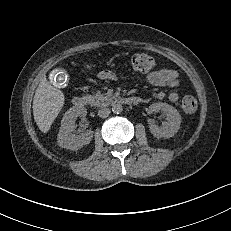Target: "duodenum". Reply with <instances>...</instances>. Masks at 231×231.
<instances>
[{
  "label": "duodenum",
  "mask_w": 231,
  "mask_h": 231,
  "mask_svg": "<svg viewBox=\"0 0 231 231\" xmlns=\"http://www.w3.org/2000/svg\"><path fill=\"white\" fill-rule=\"evenodd\" d=\"M118 102L126 105L138 104L140 99L135 96L121 97ZM72 103L77 108H82L87 104V99L84 96H75L72 99Z\"/></svg>",
  "instance_id": "1"
}]
</instances>
